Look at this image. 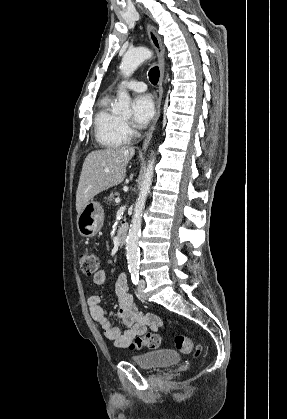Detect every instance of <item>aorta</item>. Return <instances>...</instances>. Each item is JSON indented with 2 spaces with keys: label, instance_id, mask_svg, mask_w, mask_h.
Segmentation results:
<instances>
[{
  "label": "aorta",
  "instance_id": "obj_1",
  "mask_svg": "<svg viewBox=\"0 0 287 419\" xmlns=\"http://www.w3.org/2000/svg\"><path fill=\"white\" fill-rule=\"evenodd\" d=\"M152 57V52L145 47H138L128 50L120 65L121 73L125 78L129 77L145 60ZM130 95L127 91L119 92L118 102L113 107V111L121 115H130ZM154 158L148 161L147 169L142 181L140 192L135 203L134 213L126 239V258L130 271H137L140 264L139 237L141 232V222L146 199L151 189L154 175Z\"/></svg>",
  "mask_w": 287,
  "mask_h": 419
}]
</instances>
